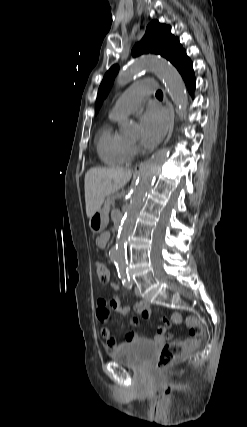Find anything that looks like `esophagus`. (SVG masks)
Returning <instances> with one entry per match:
<instances>
[{"instance_id":"esophagus-1","label":"esophagus","mask_w":247,"mask_h":427,"mask_svg":"<svg viewBox=\"0 0 247 427\" xmlns=\"http://www.w3.org/2000/svg\"><path fill=\"white\" fill-rule=\"evenodd\" d=\"M163 93H164V102H165L166 106L168 107V109H169V111H170L169 130H168L167 137H166V139H165V141H164V145H165V144L170 140V138H171V136H172V133H173V128H174V117H175V114H174V108H173V105H172V104H171V102L168 100V98H167V96H166V92H165V90H164V89H163ZM146 163H147V161H143V162H141L139 165H137V166L135 167V171H136V172L141 171V170L143 169V167L146 165Z\"/></svg>"}]
</instances>
